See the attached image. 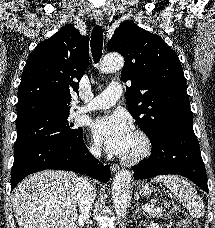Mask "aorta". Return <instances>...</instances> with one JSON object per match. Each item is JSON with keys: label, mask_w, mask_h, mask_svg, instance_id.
Here are the masks:
<instances>
[{"label": "aorta", "mask_w": 215, "mask_h": 228, "mask_svg": "<svg viewBox=\"0 0 215 228\" xmlns=\"http://www.w3.org/2000/svg\"><path fill=\"white\" fill-rule=\"evenodd\" d=\"M123 66L124 58H122V56H119V54H108V56H105L99 70H101V72H115V70H121ZM130 184L131 172H127V170L117 172L112 182L111 196L115 208V214L118 216L121 228H125V224H123L121 220L126 214Z\"/></svg>", "instance_id": "aorta-1"}]
</instances>
